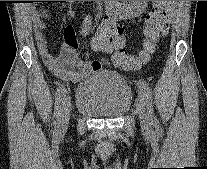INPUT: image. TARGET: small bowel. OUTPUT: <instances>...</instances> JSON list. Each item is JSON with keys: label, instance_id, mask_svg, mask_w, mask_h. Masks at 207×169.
Segmentation results:
<instances>
[{"label": "small bowel", "instance_id": "obj_1", "mask_svg": "<svg viewBox=\"0 0 207 169\" xmlns=\"http://www.w3.org/2000/svg\"><path fill=\"white\" fill-rule=\"evenodd\" d=\"M73 3L74 1H67ZM144 1H105V18L101 28L111 30L115 34V44H123L124 38L118 22L140 14ZM34 26L35 40L39 54L50 71L57 76L70 81H77L102 69L99 61H88L77 55V40L72 26L64 29V42L58 56H53L48 48V41L44 34L46 23L44 19L51 18L47 11H33L30 14Z\"/></svg>", "mask_w": 207, "mask_h": 169}]
</instances>
